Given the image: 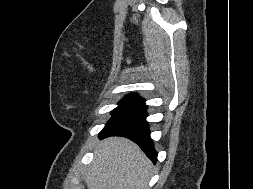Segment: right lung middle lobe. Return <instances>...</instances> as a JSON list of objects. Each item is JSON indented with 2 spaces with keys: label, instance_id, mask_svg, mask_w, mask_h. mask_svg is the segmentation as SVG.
Listing matches in <instances>:
<instances>
[{
  "label": "right lung middle lobe",
  "instance_id": "1",
  "mask_svg": "<svg viewBox=\"0 0 253 189\" xmlns=\"http://www.w3.org/2000/svg\"><path fill=\"white\" fill-rule=\"evenodd\" d=\"M141 100V97H139L138 95L136 94H132V95H129V96H126L124 99H122L119 103V106L117 108H115L112 113L114 114L115 112L127 107L128 105L130 104H133L137 101H140Z\"/></svg>",
  "mask_w": 253,
  "mask_h": 189
}]
</instances>
